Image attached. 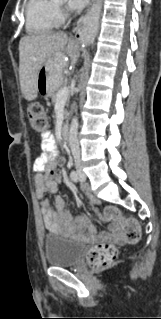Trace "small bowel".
I'll use <instances>...</instances> for the list:
<instances>
[{
    "label": "small bowel",
    "instance_id": "c3829d8e",
    "mask_svg": "<svg viewBox=\"0 0 161 319\" xmlns=\"http://www.w3.org/2000/svg\"><path fill=\"white\" fill-rule=\"evenodd\" d=\"M54 142V137L50 132L41 135L42 153L35 159L33 164V170L36 174V194L40 201V212L44 226L50 232H60L77 238L86 233L89 240H97L95 225L84 217L74 221L61 196L57 195L55 197V211L51 209L48 200L44 197L46 193L55 194L58 189L59 178L52 172L55 167L54 157L57 153L55 145H52ZM91 201L93 204L98 203L97 199H92ZM100 221L105 222L103 218H100ZM119 231L120 224L113 222L110 224L109 234L100 239H120Z\"/></svg>",
    "mask_w": 161,
    "mask_h": 319
}]
</instances>
